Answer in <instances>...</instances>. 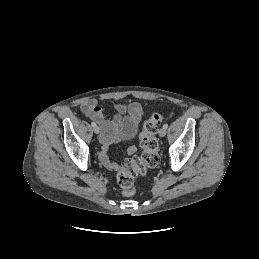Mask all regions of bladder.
Instances as JSON below:
<instances>
[{"label": "bladder", "mask_w": 259, "mask_h": 259, "mask_svg": "<svg viewBox=\"0 0 259 259\" xmlns=\"http://www.w3.org/2000/svg\"><path fill=\"white\" fill-rule=\"evenodd\" d=\"M120 128L126 137H133L136 135V133L138 131L137 125L128 123L126 120H121Z\"/></svg>", "instance_id": "31cf9c89"}]
</instances>
